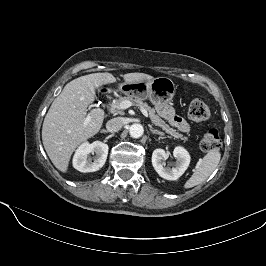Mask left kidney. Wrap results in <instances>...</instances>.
<instances>
[{
  "instance_id": "1",
  "label": "left kidney",
  "mask_w": 266,
  "mask_h": 266,
  "mask_svg": "<svg viewBox=\"0 0 266 266\" xmlns=\"http://www.w3.org/2000/svg\"><path fill=\"white\" fill-rule=\"evenodd\" d=\"M173 156L176 159L175 167L168 168L163 164V160L168 155L163 149H155L152 153V165L156 172L166 180H177L186 171L190 164V155L186 149L181 146L175 147Z\"/></svg>"
}]
</instances>
